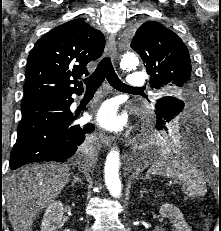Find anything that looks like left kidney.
<instances>
[{"mask_svg": "<svg viewBox=\"0 0 221 231\" xmlns=\"http://www.w3.org/2000/svg\"><path fill=\"white\" fill-rule=\"evenodd\" d=\"M160 214L170 220L174 228L173 231H192L190 226L185 222L183 214L173 204H162Z\"/></svg>", "mask_w": 221, "mask_h": 231, "instance_id": "left-kidney-1", "label": "left kidney"}]
</instances>
